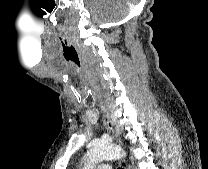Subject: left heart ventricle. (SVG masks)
I'll return each mask as SVG.
<instances>
[{"label":"left heart ventricle","instance_id":"b2bd125f","mask_svg":"<svg viewBox=\"0 0 208 169\" xmlns=\"http://www.w3.org/2000/svg\"><path fill=\"white\" fill-rule=\"evenodd\" d=\"M92 169H98L97 167H93Z\"/></svg>","mask_w":208,"mask_h":169}]
</instances>
